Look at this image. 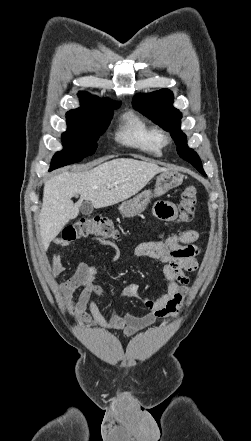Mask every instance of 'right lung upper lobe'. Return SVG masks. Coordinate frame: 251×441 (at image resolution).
<instances>
[{"instance_id": "right-lung-upper-lobe-1", "label": "right lung upper lobe", "mask_w": 251, "mask_h": 441, "mask_svg": "<svg viewBox=\"0 0 251 441\" xmlns=\"http://www.w3.org/2000/svg\"><path fill=\"white\" fill-rule=\"evenodd\" d=\"M78 96L81 98V104L86 103L87 101H103V102H109L108 99H100L97 98L95 99L94 97H92V95L85 93V92H79ZM80 110V108L74 109L69 111L67 114H72V113H76Z\"/></svg>"}]
</instances>
